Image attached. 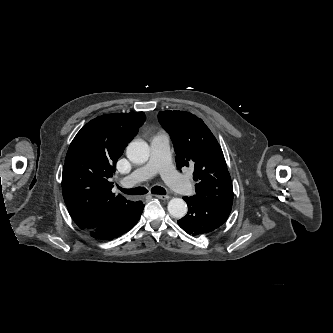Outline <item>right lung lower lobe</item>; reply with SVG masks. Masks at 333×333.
Wrapping results in <instances>:
<instances>
[{"mask_svg":"<svg viewBox=\"0 0 333 333\" xmlns=\"http://www.w3.org/2000/svg\"><path fill=\"white\" fill-rule=\"evenodd\" d=\"M144 204L141 201H131V207L112 217L107 222L85 230L93 238L98 240H112L130 231L140 219Z\"/></svg>","mask_w":333,"mask_h":333,"instance_id":"98d812e1","label":"right lung lower lobe"}]
</instances>
